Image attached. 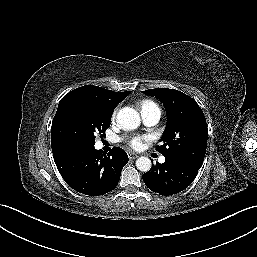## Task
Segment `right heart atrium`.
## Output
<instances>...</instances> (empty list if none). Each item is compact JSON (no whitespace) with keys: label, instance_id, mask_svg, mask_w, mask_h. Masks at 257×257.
I'll return each mask as SVG.
<instances>
[{"label":"right heart atrium","instance_id":"obj_1","mask_svg":"<svg viewBox=\"0 0 257 257\" xmlns=\"http://www.w3.org/2000/svg\"><path fill=\"white\" fill-rule=\"evenodd\" d=\"M115 116H116V111L113 113V115H112V119H114V118H115Z\"/></svg>","mask_w":257,"mask_h":257}]
</instances>
